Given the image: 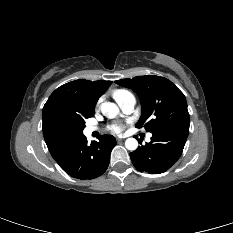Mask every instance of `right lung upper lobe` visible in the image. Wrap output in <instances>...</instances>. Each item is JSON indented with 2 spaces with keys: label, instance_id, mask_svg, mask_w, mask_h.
I'll return each instance as SVG.
<instances>
[{
  "label": "right lung upper lobe",
  "instance_id": "cb5924a9",
  "mask_svg": "<svg viewBox=\"0 0 233 233\" xmlns=\"http://www.w3.org/2000/svg\"><path fill=\"white\" fill-rule=\"evenodd\" d=\"M112 81L75 80L57 88L43 107V135L51 155L83 136L77 123L94 115L98 98Z\"/></svg>",
  "mask_w": 233,
  "mask_h": 233
}]
</instances>
